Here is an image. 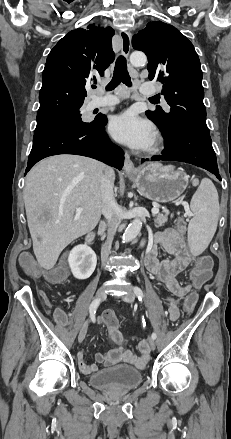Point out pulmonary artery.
<instances>
[{"label": "pulmonary artery", "instance_id": "e3ab8cb5", "mask_svg": "<svg viewBox=\"0 0 231 439\" xmlns=\"http://www.w3.org/2000/svg\"><path fill=\"white\" fill-rule=\"evenodd\" d=\"M141 91L143 94H146V95L155 94L157 92L154 85L149 83V82L142 84ZM117 103H118V99L116 97L108 96V97L97 98V99L92 100L90 102L89 107L91 109H94V108H100V107L113 106V105H116ZM164 105H165V108L168 110L169 106L166 103H164Z\"/></svg>", "mask_w": 231, "mask_h": 439}]
</instances>
